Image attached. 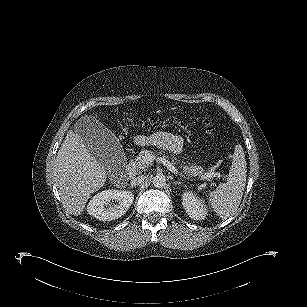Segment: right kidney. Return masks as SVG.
Wrapping results in <instances>:
<instances>
[{
  "label": "right kidney",
  "mask_w": 307,
  "mask_h": 307,
  "mask_svg": "<svg viewBox=\"0 0 307 307\" xmlns=\"http://www.w3.org/2000/svg\"><path fill=\"white\" fill-rule=\"evenodd\" d=\"M134 200V194L126 190H104L95 195L87 205L89 215L101 221H112L123 216ZM110 201L115 203L110 204Z\"/></svg>",
  "instance_id": "ca27d5eb"
}]
</instances>
